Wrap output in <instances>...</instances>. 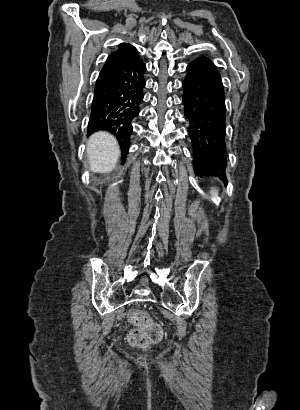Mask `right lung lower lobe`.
Listing matches in <instances>:
<instances>
[{
	"label": "right lung lower lobe",
	"mask_w": 300,
	"mask_h": 410,
	"mask_svg": "<svg viewBox=\"0 0 300 410\" xmlns=\"http://www.w3.org/2000/svg\"><path fill=\"white\" fill-rule=\"evenodd\" d=\"M145 70L140 58L119 62L101 70L94 89L88 131L106 130L116 136L123 160L143 100Z\"/></svg>",
	"instance_id": "1"
}]
</instances>
